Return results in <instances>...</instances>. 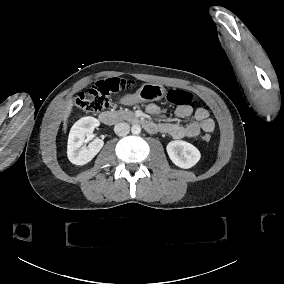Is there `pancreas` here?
Listing matches in <instances>:
<instances>
[{
  "label": "pancreas",
  "instance_id": "cf45deb5",
  "mask_svg": "<svg viewBox=\"0 0 284 284\" xmlns=\"http://www.w3.org/2000/svg\"><path fill=\"white\" fill-rule=\"evenodd\" d=\"M113 114H115L118 121H123V120L132 121L136 118L134 113L129 110L128 111L118 110L113 112Z\"/></svg>",
  "mask_w": 284,
  "mask_h": 284
}]
</instances>
